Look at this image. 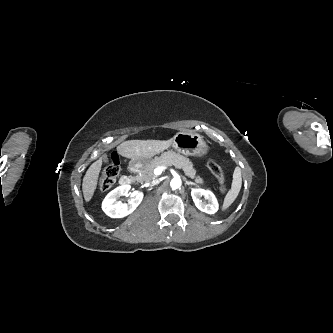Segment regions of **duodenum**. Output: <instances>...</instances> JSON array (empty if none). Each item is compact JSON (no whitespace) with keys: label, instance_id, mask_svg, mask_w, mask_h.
I'll return each mask as SVG.
<instances>
[{"label":"duodenum","instance_id":"410a0bca","mask_svg":"<svg viewBox=\"0 0 333 333\" xmlns=\"http://www.w3.org/2000/svg\"><path fill=\"white\" fill-rule=\"evenodd\" d=\"M133 181H134V176L133 175H124L120 178V183L122 185L131 184Z\"/></svg>","mask_w":333,"mask_h":333}]
</instances>
